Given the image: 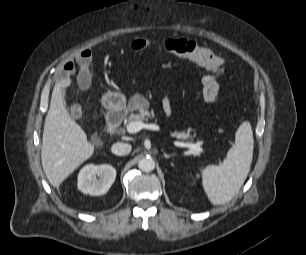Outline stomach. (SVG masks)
<instances>
[{"label": "stomach", "instance_id": "0dacf381", "mask_svg": "<svg viewBox=\"0 0 306 255\" xmlns=\"http://www.w3.org/2000/svg\"><path fill=\"white\" fill-rule=\"evenodd\" d=\"M102 104L108 110H118L125 106L126 98L120 92L108 91L102 97Z\"/></svg>", "mask_w": 306, "mask_h": 255}]
</instances>
